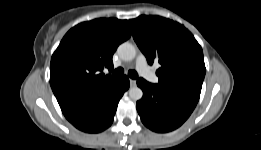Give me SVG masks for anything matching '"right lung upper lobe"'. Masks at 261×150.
<instances>
[{
  "label": "right lung upper lobe",
  "instance_id": "right-lung-upper-lobe-1",
  "mask_svg": "<svg viewBox=\"0 0 261 150\" xmlns=\"http://www.w3.org/2000/svg\"><path fill=\"white\" fill-rule=\"evenodd\" d=\"M131 32L127 20L100 18L76 25L63 37L52 55L50 84L66 118L119 86L121 77L103 71L113 70L112 56Z\"/></svg>",
  "mask_w": 261,
  "mask_h": 150
}]
</instances>
